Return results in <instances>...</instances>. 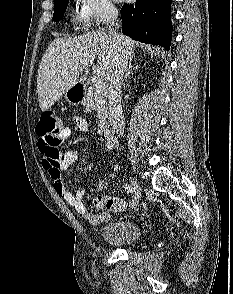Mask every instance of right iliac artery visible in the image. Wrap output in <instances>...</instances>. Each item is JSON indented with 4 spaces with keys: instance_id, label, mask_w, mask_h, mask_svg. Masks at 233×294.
Wrapping results in <instances>:
<instances>
[{
    "instance_id": "right-iliac-artery-1",
    "label": "right iliac artery",
    "mask_w": 233,
    "mask_h": 294,
    "mask_svg": "<svg viewBox=\"0 0 233 294\" xmlns=\"http://www.w3.org/2000/svg\"><path fill=\"white\" fill-rule=\"evenodd\" d=\"M123 187H124V189H125L128 193H129V192H131V193L134 192V188H133L132 186H130V185L125 184Z\"/></svg>"
}]
</instances>
